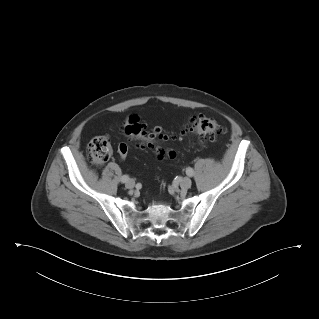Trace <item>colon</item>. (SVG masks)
<instances>
[{"instance_id":"1","label":"colon","mask_w":319,"mask_h":319,"mask_svg":"<svg viewBox=\"0 0 319 319\" xmlns=\"http://www.w3.org/2000/svg\"><path fill=\"white\" fill-rule=\"evenodd\" d=\"M122 132L140 148H152L158 159L177 156L175 150L166 148L162 144L168 140V136L161 128L148 129L138 117L130 116L122 127ZM186 133L196 135L201 140H214L226 132V128L215 119L204 114L194 116L185 129ZM128 152L126 144L118 146V153L125 157ZM87 155L95 164H103L111 155L109 139L105 136L92 138L87 146Z\"/></svg>"}]
</instances>
